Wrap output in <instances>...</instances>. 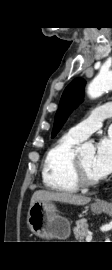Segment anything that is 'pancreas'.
I'll list each match as a JSON object with an SVG mask.
<instances>
[{
    "mask_svg": "<svg viewBox=\"0 0 112 270\" xmlns=\"http://www.w3.org/2000/svg\"><path fill=\"white\" fill-rule=\"evenodd\" d=\"M75 238L79 242H84V239L88 236V225L86 219L76 221V225L73 228Z\"/></svg>",
    "mask_w": 112,
    "mask_h": 270,
    "instance_id": "obj_1",
    "label": "pancreas"
}]
</instances>
